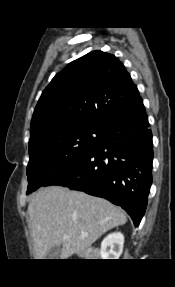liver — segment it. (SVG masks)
<instances>
[{
    "mask_svg": "<svg viewBox=\"0 0 175 287\" xmlns=\"http://www.w3.org/2000/svg\"><path fill=\"white\" fill-rule=\"evenodd\" d=\"M28 214L36 259H46L58 245L61 259L80 254L102 234L127 222L124 212L107 200L61 186L37 191Z\"/></svg>",
    "mask_w": 175,
    "mask_h": 287,
    "instance_id": "6515ba94",
    "label": "liver"
}]
</instances>
